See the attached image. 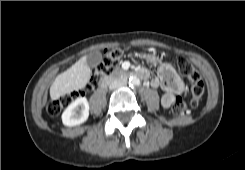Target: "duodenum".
Wrapping results in <instances>:
<instances>
[{"mask_svg":"<svg viewBox=\"0 0 245 170\" xmlns=\"http://www.w3.org/2000/svg\"><path fill=\"white\" fill-rule=\"evenodd\" d=\"M137 75L139 76V77H141V78H146L147 77V72L145 71V70H143V69H141V70H139L138 72H137ZM124 77V74H117L116 75V78H123ZM110 81H111V78H104L101 82H100V85H99V87H100V89H104V88H106L107 86H108V84L110 83Z\"/></svg>","mask_w":245,"mask_h":170,"instance_id":"obj_1","label":"duodenum"}]
</instances>
